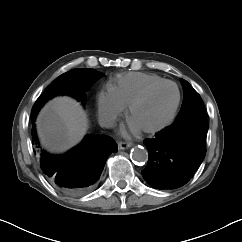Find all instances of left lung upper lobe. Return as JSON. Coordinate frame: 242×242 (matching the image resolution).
<instances>
[{
	"instance_id": "5c2ea615",
	"label": "left lung upper lobe",
	"mask_w": 242,
	"mask_h": 242,
	"mask_svg": "<svg viewBox=\"0 0 242 242\" xmlns=\"http://www.w3.org/2000/svg\"><path fill=\"white\" fill-rule=\"evenodd\" d=\"M184 96L180 112L173 125L164 131L180 134L192 130H208V122L203 101L200 95L184 79H181Z\"/></svg>"
}]
</instances>
